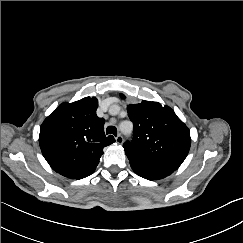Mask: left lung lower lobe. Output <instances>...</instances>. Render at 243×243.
I'll return each instance as SVG.
<instances>
[{
	"instance_id": "0a47b994",
	"label": "left lung lower lobe",
	"mask_w": 243,
	"mask_h": 243,
	"mask_svg": "<svg viewBox=\"0 0 243 243\" xmlns=\"http://www.w3.org/2000/svg\"><path fill=\"white\" fill-rule=\"evenodd\" d=\"M133 171L148 180L162 179L173 173L179 166L164 162H157L126 154Z\"/></svg>"
}]
</instances>
